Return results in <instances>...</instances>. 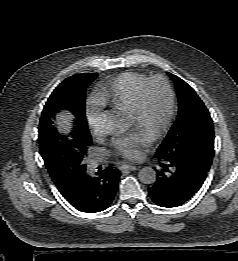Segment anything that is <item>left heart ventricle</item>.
Returning a JSON list of instances; mask_svg holds the SVG:
<instances>
[{
  "instance_id": "1",
  "label": "left heart ventricle",
  "mask_w": 238,
  "mask_h": 261,
  "mask_svg": "<svg viewBox=\"0 0 238 261\" xmlns=\"http://www.w3.org/2000/svg\"><path fill=\"white\" fill-rule=\"evenodd\" d=\"M167 109L168 97L165 87L162 83L155 82L149 87L146 93L143 116L137 121L130 115V123L152 135L161 126Z\"/></svg>"
}]
</instances>
